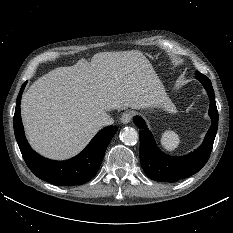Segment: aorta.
<instances>
[{
  "label": "aorta",
  "mask_w": 233,
  "mask_h": 233,
  "mask_svg": "<svg viewBox=\"0 0 233 233\" xmlns=\"http://www.w3.org/2000/svg\"><path fill=\"white\" fill-rule=\"evenodd\" d=\"M138 132L131 127H126L120 134L121 141L126 145H134L138 141Z\"/></svg>",
  "instance_id": "aorta-1"
}]
</instances>
